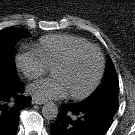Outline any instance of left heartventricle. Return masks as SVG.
Here are the masks:
<instances>
[{
  "label": "left heart ventricle",
  "mask_w": 135,
  "mask_h": 135,
  "mask_svg": "<svg viewBox=\"0 0 135 135\" xmlns=\"http://www.w3.org/2000/svg\"><path fill=\"white\" fill-rule=\"evenodd\" d=\"M99 66V59L95 52L85 51L78 54L68 65L54 68L51 74L59 77L69 93H81L94 80Z\"/></svg>",
  "instance_id": "1"
}]
</instances>
